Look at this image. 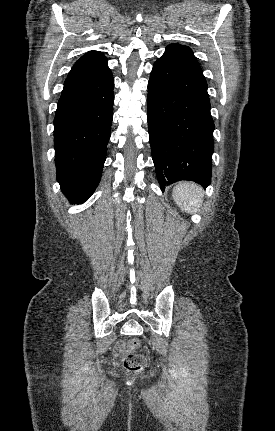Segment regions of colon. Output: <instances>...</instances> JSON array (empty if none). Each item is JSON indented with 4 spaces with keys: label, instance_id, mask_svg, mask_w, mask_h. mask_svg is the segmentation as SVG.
<instances>
[{
    "label": "colon",
    "instance_id": "1",
    "mask_svg": "<svg viewBox=\"0 0 275 431\" xmlns=\"http://www.w3.org/2000/svg\"><path fill=\"white\" fill-rule=\"evenodd\" d=\"M140 342L137 339H131L123 344L124 365L129 371L137 372L146 366V358L143 354L137 352Z\"/></svg>",
    "mask_w": 275,
    "mask_h": 431
}]
</instances>
